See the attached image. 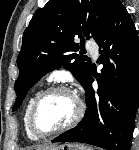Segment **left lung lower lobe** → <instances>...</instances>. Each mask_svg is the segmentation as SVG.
<instances>
[{
  "label": "left lung lower lobe",
  "instance_id": "1",
  "mask_svg": "<svg viewBox=\"0 0 139 150\" xmlns=\"http://www.w3.org/2000/svg\"><path fill=\"white\" fill-rule=\"evenodd\" d=\"M102 48L95 93L90 72L85 83L87 109L81 123L52 142H81L107 150H129L139 106V39L124 5L117 0L96 40Z\"/></svg>",
  "mask_w": 139,
  "mask_h": 150
}]
</instances>
